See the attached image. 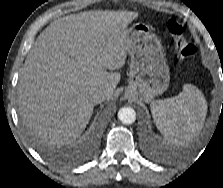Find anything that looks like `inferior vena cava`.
<instances>
[{
	"label": "inferior vena cava",
	"mask_w": 223,
	"mask_h": 188,
	"mask_svg": "<svg viewBox=\"0 0 223 188\" xmlns=\"http://www.w3.org/2000/svg\"><path fill=\"white\" fill-rule=\"evenodd\" d=\"M108 98L106 90H95L91 92V99L94 104H99Z\"/></svg>",
	"instance_id": "inferior-vena-cava-1"
}]
</instances>
